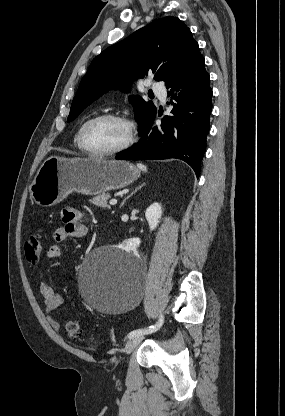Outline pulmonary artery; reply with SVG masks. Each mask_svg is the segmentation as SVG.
Here are the masks:
<instances>
[{
	"mask_svg": "<svg viewBox=\"0 0 285 416\" xmlns=\"http://www.w3.org/2000/svg\"><path fill=\"white\" fill-rule=\"evenodd\" d=\"M146 85L148 87H151L154 93L161 99L165 100L167 96V90L163 84H155L152 83L150 80L146 81Z\"/></svg>",
	"mask_w": 285,
	"mask_h": 416,
	"instance_id": "e3ab8cb5",
	"label": "pulmonary artery"
}]
</instances>
